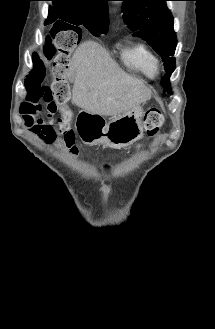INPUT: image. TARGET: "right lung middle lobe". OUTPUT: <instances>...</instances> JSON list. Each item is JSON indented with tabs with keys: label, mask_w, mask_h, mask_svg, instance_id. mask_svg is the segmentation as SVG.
Wrapping results in <instances>:
<instances>
[{
	"label": "right lung middle lobe",
	"mask_w": 215,
	"mask_h": 329,
	"mask_svg": "<svg viewBox=\"0 0 215 329\" xmlns=\"http://www.w3.org/2000/svg\"><path fill=\"white\" fill-rule=\"evenodd\" d=\"M51 15L52 14L49 12V16ZM67 21L68 23L65 25H67L68 28L76 31L79 36L82 32L81 29L77 27L79 25H84L94 36H100V34H105L108 31L106 28L100 25L84 21V19L80 18L79 16H70Z\"/></svg>",
	"instance_id": "obj_1"
}]
</instances>
